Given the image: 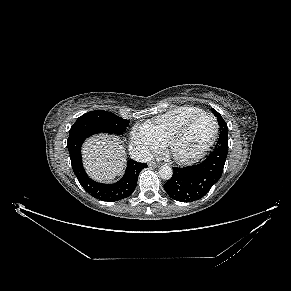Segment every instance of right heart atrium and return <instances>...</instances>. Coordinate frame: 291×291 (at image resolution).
I'll use <instances>...</instances> for the list:
<instances>
[{"label": "right heart atrium", "mask_w": 291, "mask_h": 291, "mask_svg": "<svg viewBox=\"0 0 291 291\" xmlns=\"http://www.w3.org/2000/svg\"><path fill=\"white\" fill-rule=\"evenodd\" d=\"M131 139L133 144L143 153L150 154L158 149V144L150 137L146 136L141 129L132 131Z\"/></svg>", "instance_id": "right-heart-atrium-1"}]
</instances>
